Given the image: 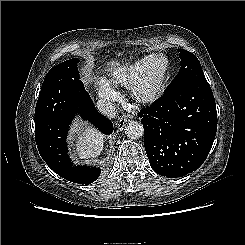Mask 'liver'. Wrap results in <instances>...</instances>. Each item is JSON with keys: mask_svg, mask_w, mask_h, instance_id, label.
Instances as JSON below:
<instances>
[{"mask_svg": "<svg viewBox=\"0 0 245 245\" xmlns=\"http://www.w3.org/2000/svg\"><path fill=\"white\" fill-rule=\"evenodd\" d=\"M108 64L111 67L119 66L118 62L111 61ZM76 133V151L75 155L77 160L89 161L95 159L102 151L104 145V135L97 132L91 127H87L85 124L76 125L72 129V133ZM73 136H71L72 138Z\"/></svg>", "mask_w": 245, "mask_h": 245, "instance_id": "obj_1", "label": "liver"}]
</instances>
